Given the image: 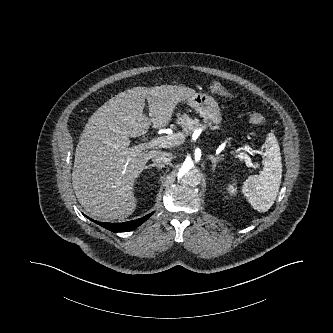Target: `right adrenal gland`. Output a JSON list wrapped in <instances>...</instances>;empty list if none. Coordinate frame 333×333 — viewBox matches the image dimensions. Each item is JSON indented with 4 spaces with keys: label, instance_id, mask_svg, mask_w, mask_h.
<instances>
[{
    "label": "right adrenal gland",
    "instance_id": "2a0ac1e0",
    "mask_svg": "<svg viewBox=\"0 0 333 333\" xmlns=\"http://www.w3.org/2000/svg\"><path fill=\"white\" fill-rule=\"evenodd\" d=\"M151 167H157L158 169H162L164 167V165L163 164L152 163V164H149V165L145 166V169L151 168Z\"/></svg>",
    "mask_w": 333,
    "mask_h": 333
}]
</instances>
